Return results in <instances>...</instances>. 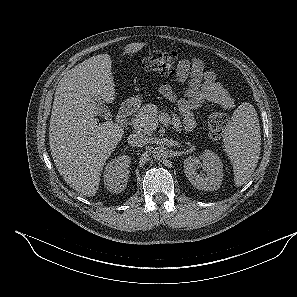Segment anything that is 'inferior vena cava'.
<instances>
[{
  "instance_id": "obj_1",
  "label": "inferior vena cava",
  "mask_w": 297,
  "mask_h": 297,
  "mask_svg": "<svg viewBox=\"0 0 297 297\" xmlns=\"http://www.w3.org/2000/svg\"><path fill=\"white\" fill-rule=\"evenodd\" d=\"M128 143L134 147H143L148 143V138L142 134L135 133L129 135Z\"/></svg>"
}]
</instances>
